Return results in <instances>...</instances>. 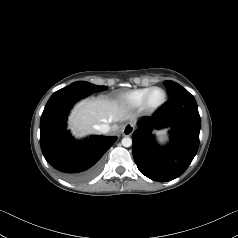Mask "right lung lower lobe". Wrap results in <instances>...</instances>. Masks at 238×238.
<instances>
[{
    "label": "right lung lower lobe",
    "instance_id": "obj_1",
    "mask_svg": "<svg viewBox=\"0 0 238 238\" xmlns=\"http://www.w3.org/2000/svg\"><path fill=\"white\" fill-rule=\"evenodd\" d=\"M89 94L76 85L56 91L48 100L40 120V145L45 159L67 180L75 183L85 182L98 173L100 158L117 140V137L91 136L77 142L66 130L70 108Z\"/></svg>",
    "mask_w": 238,
    "mask_h": 238
}]
</instances>
